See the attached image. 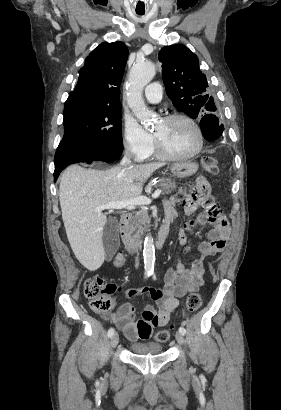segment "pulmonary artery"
I'll list each match as a JSON object with an SVG mask.
<instances>
[{"instance_id": "e3ab8cb5", "label": "pulmonary artery", "mask_w": 281, "mask_h": 410, "mask_svg": "<svg viewBox=\"0 0 281 410\" xmlns=\"http://www.w3.org/2000/svg\"><path fill=\"white\" fill-rule=\"evenodd\" d=\"M145 97L150 103H159L162 99V86L158 82H153L145 88Z\"/></svg>"}]
</instances>
